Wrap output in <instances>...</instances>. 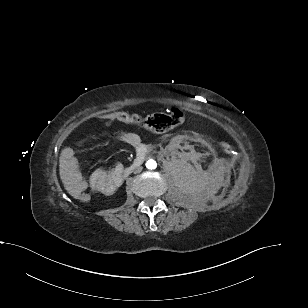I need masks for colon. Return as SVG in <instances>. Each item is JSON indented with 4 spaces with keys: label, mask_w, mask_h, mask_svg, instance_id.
I'll return each instance as SVG.
<instances>
[{
    "label": "colon",
    "mask_w": 308,
    "mask_h": 308,
    "mask_svg": "<svg viewBox=\"0 0 308 308\" xmlns=\"http://www.w3.org/2000/svg\"><path fill=\"white\" fill-rule=\"evenodd\" d=\"M109 119L136 124L155 133H163L179 126L183 121V114L178 109L152 113L145 116L135 113L116 112L111 114ZM221 149L227 154L233 153V147L227 142L221 143ZM74 197L83 203L91 200V195L87 191L79 192Z\"/></svg>",
    "instance_id": "5ec220e1"
}]
</instances>
